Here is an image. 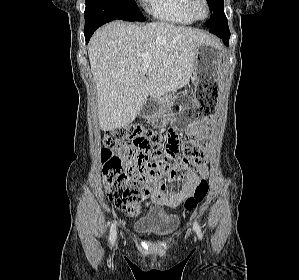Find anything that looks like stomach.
Here are the masks:
<instances>
[{
	"label": "stomach",
	"mask_w": 299,
	"mask_h": 280,
	"mask_svg": "<svg viewBox=\"0 0 299 280\" xmlns=\"http://www.w3.org/2000/svg\"><path fill=\"white\" fill-rule=\"evenodd\" d=\"M225 60L222 48L214 43H203L195 51L194 70L191 75L193 96H180L171 102L149 103L140 115L156 128L169 123L188 129L201 117L214 114L221 97V66ZM178 110L174 111V107Z\"/></svg>",
	"instance_id": "stomach-1"
}]
</instances>
